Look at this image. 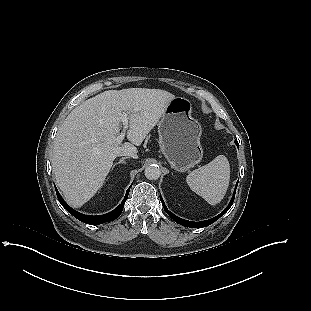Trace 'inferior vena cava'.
Instances as JSON below:
<instances>
[{
	"instance_id": "obj_1",
	"label": "inferior vena cava",
	"mask_w": 311,
	"mask_h": 311,
	"mask_svg": "<svg viewBox=\"0 0 311 311\" xmlns=\"http://www.w3.org/2000/svg\"><path fill=\"white\" fill-rule=\"evenodd\" d=\"M122 156H129V157H132L134 159L138 158V155L135 152H126V153H123Z\"/></svg>"
}]
</instances>
